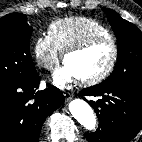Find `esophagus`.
I'll use <instances>...</instances> for the list:
<instances>
[{
    "instance_id": "34e87169",
    "label": "esophagus",
    "mask_w": 142,
    "mask_h": 142,
    "mask_svg": "<svg viewBox=\"0 0 142 142\" xmlns=\"http://www.w3.org/2000/svg\"><path fill=\"white\" fill-rule=\"evenodd\" d=\"M66 101H70L73 98V95L70 92H64Z\"/></svg>"
}]
</instances>
